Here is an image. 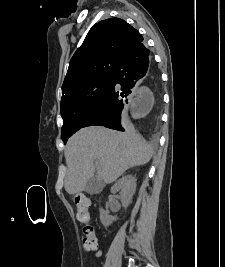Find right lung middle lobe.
Returning a JSON list of instances; mask_svg holds the SVG:
<instances>
[{"mask_svg":"<svg viewBox=\"0 0 225 267\" xmlns=\"http://www.w3.org/2000/svg\"><path fill=\"white\" fill-rule=\"evenodd\" d=\"M112 81L113 74L101 76L62 93L61 116L64 124L61 133L64 143L83 127L86 120L100 106Z\"/></svg>","mask_w":225,"mask_h":267,"instance_id":"right-lung-middle-lobe-1","label":"right lung middle lobe"}]
</instances>
